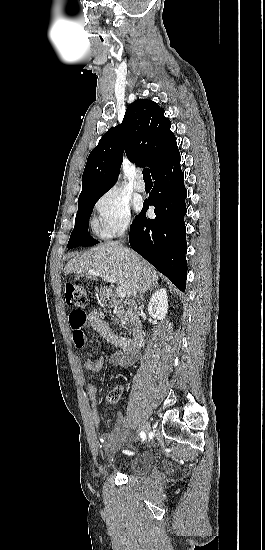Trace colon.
Wrapping results in <instances>:
<instances>
[{
  "instance_id": "1",
  "label": "colon",
  "mask_w": 265,
  "mask_h": 550,
  "mask_svg": "<svg viewBox=\"0 0 265 550\" xmlns=\"http://www.w3.org/2000/svg\"><path fill=\"white\" fill-rule=\"evenodd\" d=\"M65 298L67 305L72 308V311L69 314V321L73 331V336L77 340L80 337L86 322V315L83 308L88 302V294L83 286L74 283H67L65 285ZM118 397L119 391L116 389H113L108 394V400L110 402L115 401Z\"/></svg>"
}]
</instances>
